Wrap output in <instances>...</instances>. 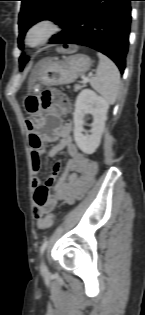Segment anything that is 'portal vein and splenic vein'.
Wrapping results in <instances>:
<instances>
[{"label":"portal vein and splenic vein","mask_w":145,"mask_h":315,"mask_svg":"<svg viewBox=\"0 0 145 315\" xmlns=\"http://www.w3.org/2000/svg\"><path fill=\"white\" fill-rule=\"evenodd\" d=\"M92 76V74H90ZM89 81V76H85L82 78V83H87Z\"/></svg>","instance_id":"1"}]
</instances>
